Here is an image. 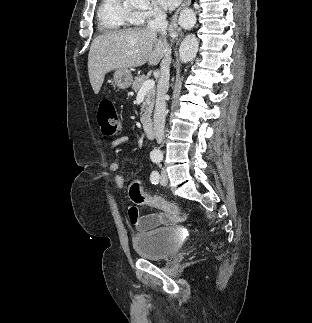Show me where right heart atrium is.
I'll return each mask as SVG.
<instances>
[{
    "label": "right heart atrium",
    "mask_w": 312,
    "mask_h": 323,
    "mask_svg": "<svg viewBox=\"0 0 312 323\" xmlns=\"http://www.w3.org/2000/svg\"><path fill=\"white\" fill-rule=\"evenodd\" d=\"M133 15L139 16V22H148V17H167V10H152L150 6H147L145 10H135Z\"/></svg>",
    "instance_id": "right-heart-atrium-1"
}]
</instances>
